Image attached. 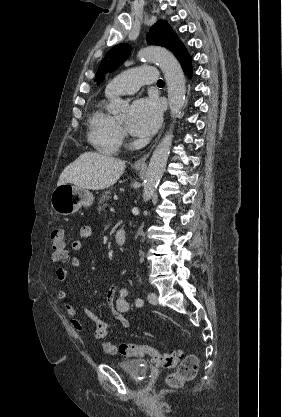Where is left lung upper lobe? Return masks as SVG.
<instances>
[{
	"mask_svg": "<svg viewBox=\"0 0 282 417\" xmlns=\"http://www.w3.org/2000/svg\"><path fill=\"white\" fill-rule=\"evenodd\" d=\"M146 39L149 44L166 47L172 52L183 45L167 21L163 20H159L151 27ZM130 51L131 47L127 44L113 47L100 63L95 77L97 84L104 80L105 73L112 72L120 66L128 58Z\"/></svg>",
	"mask_w": 282,
	"mask_h": 417,
	"instance_id": "obj_1",
	"label": "left lung upper lobe"
}]
</instances>
